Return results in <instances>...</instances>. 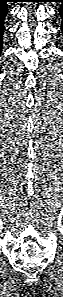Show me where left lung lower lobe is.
Masks as SVG:
<instances>
[{"instance_id":"0a47b994","label":"left lung lower lobe","mask_w":63,"mask_h":297,"mask_svg":"<svg viewBox=\"0 0 63 297\" xmlns=\"http://www.w3.org/2000/svg\"><path fill=\"white\" fill-rule=\"evenodd\" d=\"M57 2H62V5L59 7V14L61 15L62 17V24H61V30L63 32V0H58Z\"/></svg>"}]
</instances>
